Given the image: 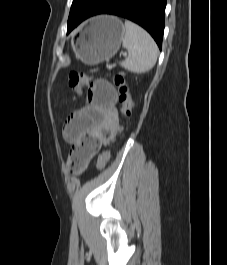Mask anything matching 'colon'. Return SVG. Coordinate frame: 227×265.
<instances>
[{
    "instance_id": "5ec220e1",
    "label": "colon",
    "mask_w": 227,
    "mask_h": 265,
    "mask_svg": "<svg viewBox=\"0 0 227 265\" xmlns=\"http://www.w3.org/2000/svg\"><path fill=\"white\" fill-rule=\"evenodd\" d=\"M92 80V77L82 72L73 71L69 74L66 85L71 92H73L75 95H78L84 87L92 84ZM112 80L118 92L120 115L122 118H127L131 115L133 107L130 88L126 82V79L121 75L113 76ZM110 156V149H106L102 152L97 161V170H102L105 168L110 160ZM67 164L71 171H80L86 165V156L81 153L78 148L73 147L70 151Z\"/></svg>"
}]
</instances>
